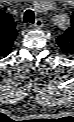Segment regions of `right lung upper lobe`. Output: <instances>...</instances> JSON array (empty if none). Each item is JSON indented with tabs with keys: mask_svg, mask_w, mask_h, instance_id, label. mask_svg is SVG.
Wrapping results in <instances>:
<instances>
[{
	"mask_svg": "<svg viewBox=\"0 0 74 122\" xmlns=\"http://www.w3.org/2000/svg\"><path fill=\"white\" fill-rule=\"evenodd\" d=\"M17 36L12 16L0 11V57L7 56Z\"/></svg>",
	"mask_w": 74,
	"mask_h": 122,
	"instance_id": "1",
	"label": "right lung upper lobe"
}]
</instances>
